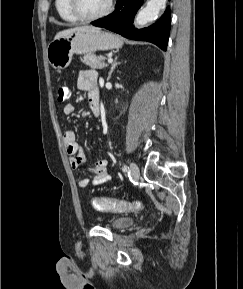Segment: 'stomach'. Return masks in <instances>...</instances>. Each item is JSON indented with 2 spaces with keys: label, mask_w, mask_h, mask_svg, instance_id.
Returning a JSON list of instances; mask_svg holds the SVG:
<instances>
[{
  "label": "stomach",
  "mask_w": 243,
  "mask_h": 289,
  "mask_svg": "<svg viewBox=\"0 0 243 289\" xmlns=\"http://www.w3.org/2000/svg\"><path fill=\"white\" fill-rule=\"evenodd\" d=\"M123 40L110 32L101 29L86 28L74 30L64 37L54 39L47 48L49 64L57 69L67 68L73 54H90L97 50L107 51L121 48Z\"/></svg>",
  "instance_id": "0dacf381"
}]
</instances>
